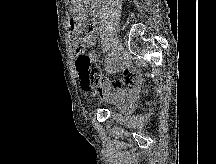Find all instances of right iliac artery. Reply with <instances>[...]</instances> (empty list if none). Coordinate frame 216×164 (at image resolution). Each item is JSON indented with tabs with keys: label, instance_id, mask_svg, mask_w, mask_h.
<instances>
[{
	"label": "right iliac artery",
	"instance_id": "right-iliac-artery-1",
	"mask_svg": "<svg viewBox=\"0 0 216 164\" xmlns=\"http://www.w3.org/2000/svg\"><path fill=\"white\" fill-rule=\"evenodd\" d=\"M109 60L112 62L114 60V49L109 53Z\"/></svg>",
	"mask_w": 216,
	"mask_h": 164
}]
</instances>
